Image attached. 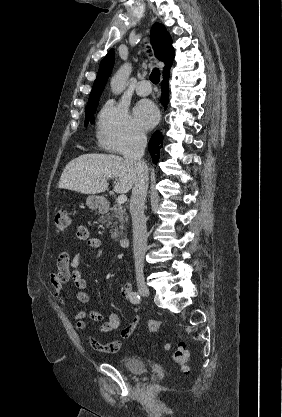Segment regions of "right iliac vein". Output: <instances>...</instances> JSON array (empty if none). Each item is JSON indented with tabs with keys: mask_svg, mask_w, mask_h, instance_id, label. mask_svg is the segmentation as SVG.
Here are the masks:
<instances>
[{
	"mask_svg": "<svg viewBox=\"0 0 282 417\" xmlns=\"http://www.w3.org/2000/svg\"><path fill=\"white\" fill-rule=\"evenodd\" d=\"M138 291L142 296H149L150 295V291L148 289V287L144 284V283H140L138 285Z\"/></svg>",
	"mask_w": 282,
	"mask_h": 417,
	"instance_id": "1",
	"label": "right iliac vein"
}]
</instances>
